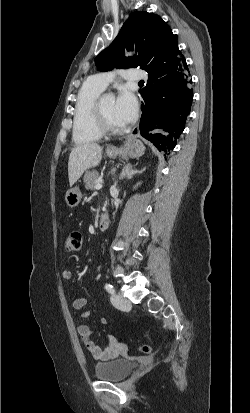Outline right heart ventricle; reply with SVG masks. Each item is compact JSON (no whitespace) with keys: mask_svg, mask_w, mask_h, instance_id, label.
Wrapping results in <instances>:
<instances>
[{"mask_svg":"<svg viewBox=\"0 0 250 413\" xmlns=\"http://www.w3.org/2000/svg\"><path fill=\"white\" fill-rule=\"evenodd\" d=\"M104 89L96 85L92 79L87 80L80 88L73 119V140L77 144L98 141L103 136L95 116V102Z\"/></svg>","mask_w":250,"mask_h":413,"instance_id":"1","label":"right heart ventricle"}]
</instances>
